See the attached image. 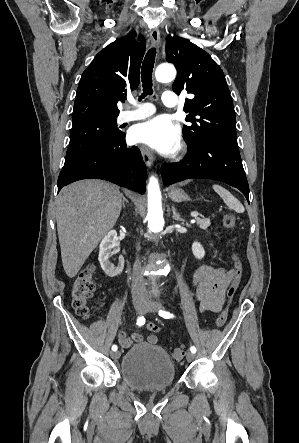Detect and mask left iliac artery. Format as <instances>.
<instances>
[{
  "mask_svg": "<svg viewBox=\"0 0 299 443\" xmlns=\"http://www.w3.org/2000/svg\"><path fill=\"white\" fill-rule=\"evenodd\" d=\"M159 315H160L161 317H163V318H166V319H168V318H174V315H173V314H171L170 312L164 311V310H159ZM190 351H191L192 353H196V348H195V346H191Z\"/></svg>",
  "mask_w": 299,
  "mask_h": 443,
  "instance_id": "left-iliac-artery-1",
  "label": "left iliac artery"
}]
</instances>
